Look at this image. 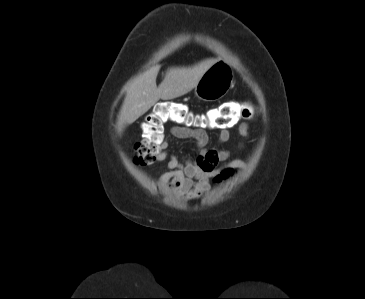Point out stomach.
<instances>
[{"label": "stomach", "mask_w": 365, "mask_h": 299, "mask_svg": "<svg viewBox=\"0 0 365 299\" xmlns=\"http://www.w3.org/2000/svg\"><path fill=\"white\" fill-rule=\"evenodd\" d=\"M234 86L232 66L224 60L216 61L202 75L195 86V96L203 101H216Z\"/></svg>", "instance_id": "0dacf381"}]
</instances>
